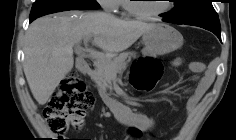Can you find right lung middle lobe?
Listing matches in <instances>:
<instances>
[{
  "label": "right lung middle lobe",
  "mask_w": 236,
  "mask_h": 140,
  "mask_svg": "<svg viewBox=\"0 0 236 140\" xmlns=\"http://www.w3.org/2000/svg\"><path fill=\"white\" fill-rule=\"evenodd\" d=\"M99 8L100 5L96 0H36L31 9L30 19H36L46 14L67 10Z\"/></svg>",
  "instance_id": "obj_1"
}]
</instances>
